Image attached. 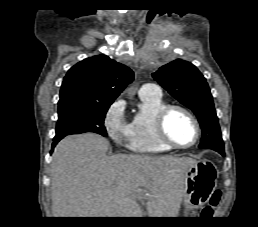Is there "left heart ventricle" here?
<instances>
[{
    "mask_svg": "<svg viewBox=\"0 0 258 227\" xmlns=\"http://www.w3.org/2000/svg\"><path fill=\"white\" fill-rule=\"evenodd\" d=\"M168 135L178 144H190L195 138V128L192 121L184 113L173 111L167 118Z\"/></svg>",
    "mask_w": 258,
    "mask_h": 227,
    "instance_id": "b2bd125f",
    "label": "left heart ventricle"
}]
</instances>
